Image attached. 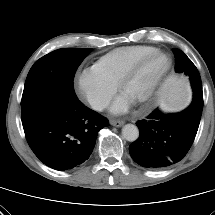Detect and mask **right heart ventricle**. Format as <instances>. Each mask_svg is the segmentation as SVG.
I'll return each mask as SVG.
<instances>
[{
    "instance_id": "right-heart-ventricle-1",
    "label": "right heart ventricle",
    "mask_w": 215,
    "mask_h": 215,
    "mask_svg": "<svg viewBox=\"0 0 215 215\" xmlns=\"http://www.w3.org/2000/svg\"><path fill=\"white\" fill-rule=\"evenodd\" d=\"M155 49L148 45L119 47L101 56L93 67L118 85L122 76L136 60Z\"/></svg>"
}]
</instances>
